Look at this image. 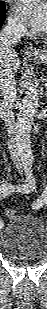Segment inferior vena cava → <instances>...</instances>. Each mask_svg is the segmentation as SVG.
Returning <instances> with one entry per match:
<instances>
[{"label": "inferior vena cava", "mask_w": 47, "mask_h": 309, "mask_svg": "<svg viewBox=\"0 0 47 309\" xmlns=\"http://www.w3.org/2000/svg\"><path fill=\"white\" fill-rule=\"evenodd\" d=\"M25 33L23 25L16 21H8L7 25L0 32L1 51L13 54V47L21 41ZM0 91H1V117L5 121L8 134H12L15 126L13 107L17 98V88L15 74L9 69L0 72ZM13 147V146H11ZM12 158L16 159L18 154L11 149Z\"/></svg>", "instance_id": "602c4592"}]
</instances>
